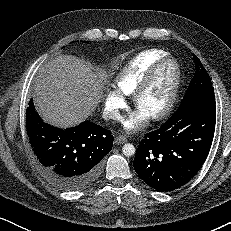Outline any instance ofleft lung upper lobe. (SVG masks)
<instances>
[{"instance_id": "obj_1", "label": "left lung upper lobe", "mask_w": 231, "mask_h": 231, "mask_svg": "<svg viewBox=\"0 0 231 231\" xmlns=\"http://www.w3.org/2000/svg\"><path fill=\"white\" fill-rule=\"evenodd\" d=\"M193 58L196 62V74L190 82L179 109L193 103L215 102L214 89L210 77L198 57L193 55Z\"/></svg>"}]
</instances>
